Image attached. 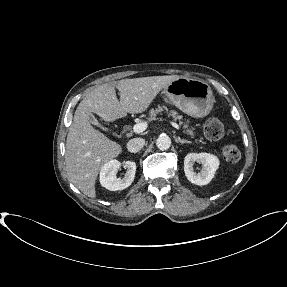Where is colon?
I'll use <instances>...</instances> for the list:
<instances>
[{"label": "colon", "instance_id": "5ec220e1", "mask_svg": "<svg viewBox=\"0 0 287 287\" xmlns=\"http://www.w3.org/2000/svg\"><path fill=\"white\" fill-rule=\"evenodd\" d=\"M204 134L207 139L217 141L224 135V125L218 118L208 119L203 127ZM224 160L230 164H236L241 159V151L235 144H227L222 149Z\"/></svg>", "mask_w": 287, "mask_h": 287}]
</instances>
